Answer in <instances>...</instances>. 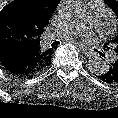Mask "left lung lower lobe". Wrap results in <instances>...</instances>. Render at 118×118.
Listing matches in <instances>:
<instances>
[{"mask_svg": "<svg viewBox=\"0 0 118 118\" xmlns=\"http://www.w3.org/2000/svg\"><path fill=\"white\" fill-rule=\"evenodd\" d=\"M98 77L107 83H118V64L115 62L110 64L105 73Z\"/></svg>", "mask_w": 118, "mask_h": 118, "instance_id": "0a47b994", "label": "left lung lower lobe"}]
</instances>
